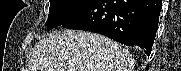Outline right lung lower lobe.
<instances>
[{"label":"right lung lower lobe","instance_id":"1","mask_svg":"<svg viewBox=\"0 0 181 71\" xmlns=\"http://www.w3.org/2000/svg\"><path fill=\"white\" fill-rule=\"evenodd\" d=\"M162 0H94L61 25L103 34L125 45H137L149 56Z\"/></svg>","mask_w":181,"mask_h":71}]
</instances>
